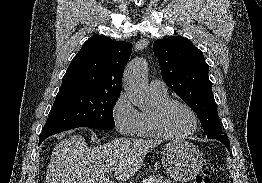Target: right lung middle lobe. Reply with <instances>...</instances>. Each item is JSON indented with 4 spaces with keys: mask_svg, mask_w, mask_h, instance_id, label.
Returning <instances> with one entry per match:
<instances>
[{
    "mask_svg": "<svg viewBox=\"0 0 262 183\" xmlns=\"http://www.w3.org/2000/svg\"><path fill=\"white\" fill-rule=\"evenodd\" d=\"M119 95L93 90L58 93L41 134H56L77 127L113 128V108Z\"/></svg>",
    "mask_w": 262,
    "mask_h": 183,
    "instance_id": "dd1d6c3e",
    "label": "right lung middle lobe"
}]
</instances>
